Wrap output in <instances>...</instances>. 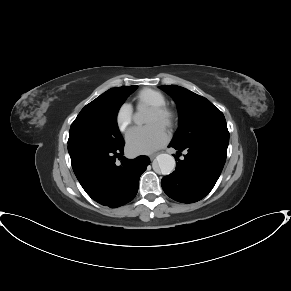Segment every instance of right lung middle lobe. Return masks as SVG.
Returning a JSON list of instances; mask_svg holds the SVG:
<instances>
[{
	"label": "right lung middle lobe",
	"mask_w": 291,
	"mask_h": 291,
	"mask_svg": "<svg viewBox=\"0 0 291 291\" xmlns=\"http://www.w3.org/2000/svg\"><path fill=\"white\" fill-rule=\"evenodd\" d=\"M137 86L112 88L87 104L71 124L68 145L92 144L117 147L124 143L117 126V113Z\"/></svg>",
	"instance_id": "obj_1"
}]
</instances>
